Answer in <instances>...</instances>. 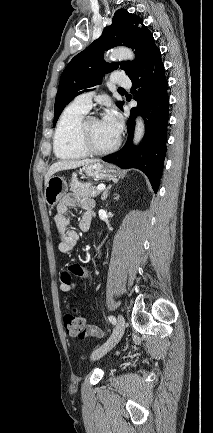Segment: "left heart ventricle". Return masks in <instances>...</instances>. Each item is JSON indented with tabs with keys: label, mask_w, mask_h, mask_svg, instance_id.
<instances>
[{
	"label": "left heart ventricle",
	"mask_w": 213,
	"mask_h": 433,
	"mask_svg": "<svg viewBox=\"0 0 213 433\" xmlns=\"http://www.w3.org/2000/svg\"><path fill=\"white\" fill-rule=\"evenodd\" d=\"M88 135L93 146L98 149L110 147L117 139V136L100 119L92 120L89 123Z\"/></svg>",
	"instance_id": "obj_1"
}]
</instances>
